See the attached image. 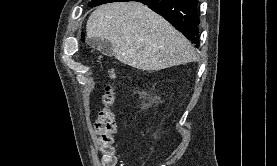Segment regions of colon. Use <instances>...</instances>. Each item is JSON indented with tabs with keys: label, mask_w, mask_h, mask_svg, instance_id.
Instances as JSON below:
<instances>
[{
	"label": "colon",
	"mask_w": 277,
	"mask_h": 166,
	"mask_svg": "<svg viewBox=\"0 0 277 166\" xmlns=\"http://www.w3.org/2000/svg\"><path fill=\"white\" fill-rule=\"evenodd\" d=\"M82 39H84V37H82ZM109 75L110 77H114V72L110 70ZM115 99V91L111 85H108L103 95V108L95 122V131L98 147L102 155L103 166H116L117 162L114 145L116 123L112 111V105Z\"/></svg>",
	"instance_id": "colon-1"
}]
</instances>
